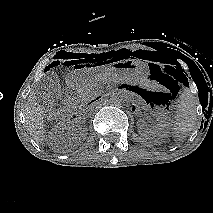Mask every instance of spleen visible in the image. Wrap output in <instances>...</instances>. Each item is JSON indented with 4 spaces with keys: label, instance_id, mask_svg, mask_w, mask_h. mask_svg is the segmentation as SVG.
Instances as JSON below:
<instances>
[{
    "label": "spleen",
    "instance_id": "1",
    "mask_svg": "<svg viewBox=\"0 0 213 213\" xmlns=\"http://www.w3.org/2000/svg\"><path fill=\"white\" fill-rule=\"evenodd\" d=\"M198 101L190 90L185 89L178 100V110L172 128L175 140H182L195 128Z\"/></svg>",
    "mask_w": 213,
    "mask_h": 213
}]
</instances>
